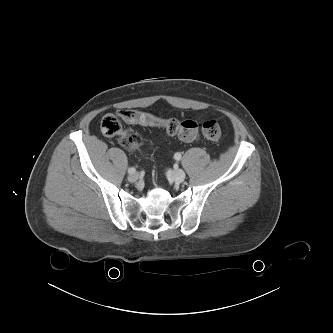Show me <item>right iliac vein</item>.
<instances>
[{
    "instance_id": "right-iliac-vein-1",
    "label": "right iliac vein",
    "mask_w": 333,
    "mask_h": 333,
    "mask_svg": "<svg viewBox=\"0 0 333 333\" xmlns=\"http://www.w3.org/2000/svg\"><path fill=\"white\" fill-rule=\"evenodd\" d=\"M138 178H139V175L137 173H133L128 176V180L132 183L136 182L138 180Z\"/></svg>"
}]
</instances>
